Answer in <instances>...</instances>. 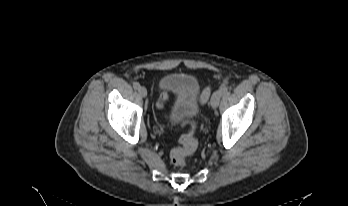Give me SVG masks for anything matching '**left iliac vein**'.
Wrapping results in <instances>:
<instances>
[{
  "label": "left iliac vein",
  "mask_w": 348,
  "mask_h": 206,
  "mask_svg": "<svg viewBox=\"0 0 348 206\" xmlns=\"http://www.w3.org/2000/svg\"><path fill=\"white\" fill-rule=\"evenodd\" d=\"M221 91L217 90L213 93L212 97H211V106L212 108H217L221 99Z\"/></svg>",
  "instance_id": "left-iliac-vein-1"
}]
</instances>
